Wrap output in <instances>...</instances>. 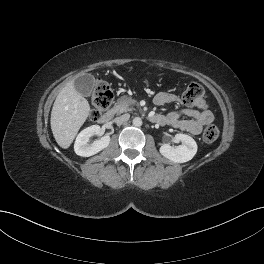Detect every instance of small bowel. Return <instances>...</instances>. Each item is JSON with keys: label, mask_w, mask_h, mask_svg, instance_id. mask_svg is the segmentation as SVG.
Segmentation results:
<instances>
[{"label": "small bowel", "mask_w": 264, "mask_h": 264, "mask_svg": "<svg viewBox=\"0 0 264 264\" xmlns=\"http://www.w3.org/2000/svg\"><path fill=\"white\" fill-rule=\"evenodd\" d=\"M178 102L179 98L176 95L167 92H160L154 97V103L157 106ZM158 116L161 118L158 122L159 124L177 128L193 135L200 134L203 127L214 120L213 113L210 110H194L190 108H182L179 111Z\"/></svg>", "instance_id": "obj_1"}]
</instances>
